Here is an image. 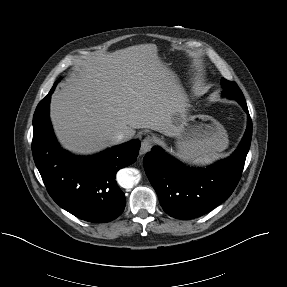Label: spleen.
<instances>
[{
  "instance_id": "3e777b00",
  "label": "spleen",
  "mask_w": 287,
  "mask_h": 287,
  "mask_svg": "<svg viewBox=\"0 0 287 287\" xmlns=\"http://www.w3.org/2000/svg\"><path fill=\"white\" fill-rule=\"evenodd\" d=\"M223 157L222 154H210V155H206L202 158H199L195 161V163L197 165H207V164H211L214 161L218 160L219 158Z\"/></svg>"
}]
</instances>
